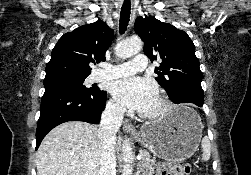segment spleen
Returning a JSON list of instances; mask_svg holds the SVG:
<instances>
[{
	"label": "spleen",
	"mask_w": 251,
	"mask_h": 175,
	"mask_svg": "<svg viewBox=\"0 0 251 175\" xmlns=\"http://www.w3.org/2000/svg\"><path fill=\"white\" fill-rule=\"evenodd\" d=\"M201 145H202V159L203 161H207V159H210V155H211V143H210V139L209 137H207V135H205V137H203L202 141H201Z\"/></svg>",
	"instance_id": "1"
}]
</instances>
